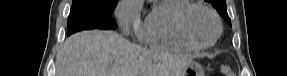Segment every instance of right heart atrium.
<instances>
[{
	"instance_id": "1",
	"label": "right heart atrium",
	"mask_w": 287,
	"mask_h": 76,
	"mask_svg": "<svg viewBox=\"0 0 287 76\" xmlns=\"http://www.w3.org/2000/svg\"><path fill=\"white\" fill-rule=\"evenodd\" d=\"M140 15V0H122L116 9V18L125 33L138 32L141 27Z\"/></svg>"
}]
</instances>
